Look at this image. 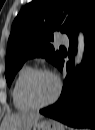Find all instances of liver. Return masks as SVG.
I'll return each instance as SVG.
<instances>
[{
	"label": "liver",
	"mask_w": 95,
	"mask_h": 130,
	"mask_svg": "<svg viewBox=\"0 0 95 130\" xmlns=\"http://www.w3.org/2000/svg\"><path fill=\"white\" fill-rule=\"evenodd\" d=\"M42 116L35 112H20L8 114L3 121L4 130H31L33 125L38 122Z\"/></svg>",
	"instance_id": "liver-1"
}]
</instances>
